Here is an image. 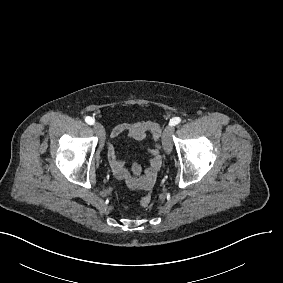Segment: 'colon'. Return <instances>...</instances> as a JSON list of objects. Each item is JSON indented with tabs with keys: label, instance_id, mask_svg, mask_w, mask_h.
Here are the masks:
<instances>
[{
	"label": "colon",
	"instance_id": "obj_1",
	"mask_svg": "<svg viewBox=\"0 0 283 283\" xmlns=\"http://www.w3.org/2000/svg\"><path fill=\"white\" fill-rule=\"evenodd\" d=\"M153 186L154 184L152 180L146 181L145 183L146 193L139 200L140 205L144 208L148 207L152 202Z\"/></svg>",
	"mask_w": 283,
	"mask_h": 283
}]
</instances>
